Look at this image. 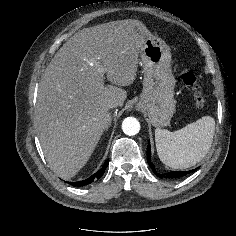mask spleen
Segmentation results:
<instances>
[{"instance_id":"obj_1","label":"spleen","mask_w":236,"mask_h":236,"mask_svg":"<svg viewBox=\"0 0 236 236\" xmlns=\"http://www.w3.org/2000/svg\"><path fill=\"white\" fill-rule=\"evenodd\" d=\"M215 121L204 116L184 128L170 132L155 129L156 149L167 166L185 169L200 162L208 153L214 136Z\"/></svg>"}]
</instances>
